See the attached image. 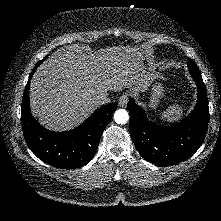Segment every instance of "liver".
<instances>
[{"mask_svg":"<svg viewBox=\"0 0 221 221\" xmlns=\"http://www.w3.org/2000/svg\"><path fill=\"white\" fill-rule=\"evenodd\" d=\"M144 60V52L135 46H113L94 53L71 47L57 50L31 79L32 114L50 130L72 129L97 109L99 95L123 88L144 92L155 77L146 71Z\"/></svg>","mask_w":221,"mask_h":221,"instance_id":"obj_1","label":"liver"}]
</instances>
